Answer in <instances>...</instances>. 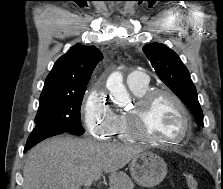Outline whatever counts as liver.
<instances>
[{"instance_id": "6515ba94", "label": "liver", "mask_w": 223, "mask_h": 189, "mask_svg": "<svg viewBox=\"0 0 223 189\" xmlns=\"http://www.w3.org/2000/svg\"><path fill=\"white\" fill-rule=\"evenodd\" d=\"M143 151L139 145L49 138L27 153L23 189H80L87 180H99L102 172L110 174V189H125L128 178L119 170Z\"/></svg>"}]
</instances>
